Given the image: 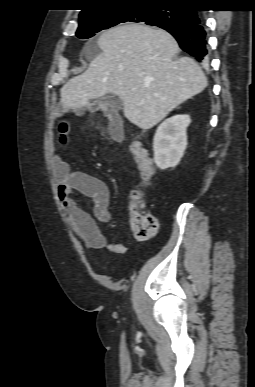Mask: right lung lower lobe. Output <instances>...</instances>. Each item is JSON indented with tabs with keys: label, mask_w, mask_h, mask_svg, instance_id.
<instances>
[{
	"label": "right lung lower lobe",
	"mask_w": 255,
	"mask_h": 387,
	"mask_svg": "<svg viewBox=\"0 0 255 387\" xmlns=\"http://www.w3.org/2000/svg\"><path fill=\"white\" fill-rule=\"evenodd\" d=\"M179 11L183 22L159 27L172 34L183 51L199 62H206L208 50L202 13L190 7L179 8Z\"/></svg>",
	"instance_id": "obj_1"
}]
</instances>
